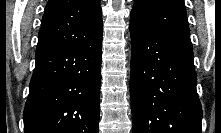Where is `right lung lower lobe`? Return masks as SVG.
I'll return each instance as SVG.
<instances>
[{
    "label": "right lung lower lobe",
    "mask_w": 221,
    "mask_h": 133,
    "mask_svg": "<svg viewBox=\"0 0 221 133\" xmlns=\"http://www.w3.org/2000/svg\"><path fill=\"white\" fill-rule=\"evenodd\" d=\"M102 30L78 46L36 52L24 133H98Z\"/></svg>",
    "instance_id": "right-lung-lower-lobe-1"
}]
</instances>
